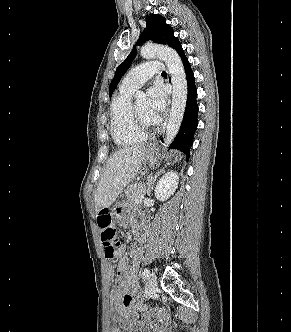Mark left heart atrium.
I'll use <instances>...</instances> for the list:
<instances>
[{
    "label": "left heart atrium",
    "mask_w": 291,
    "mask_h": 332,
    "mask_svg": "<svg viewBox=\"0 0 291 332\" xmlns=\"http://www.w3.org/2000/svg\"><path fill=\"white\" fill-rule=\"evenodd\" d=\"M166 103L167 96L161 86H153L148 90V111L154 124L161 122Z\"/></svg>",
    "instance_id": "obj_1"
}]
</instances>
